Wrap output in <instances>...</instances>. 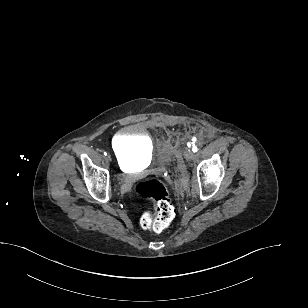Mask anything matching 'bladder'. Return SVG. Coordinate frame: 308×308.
<instances>
[{
	"mask_svg": "<svg viewBox=\"0 0 308 308\" xmlns=\"http://www.w3.org/2000/svg\"><path fill=\"white\" fill-rule=\"evenodd\" d=\"M112 151L123 171L149 162L153 155V143L139 125H130L115 135Z\"/></svg>",
	"mask_w": 308,
	"mask_h": 308,
	"instance_id": "obj_1",
	"label": "bladder"
}]
</instances>
